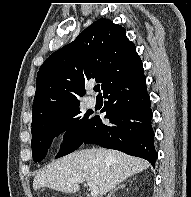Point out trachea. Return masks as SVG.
I'll return each instance as SVG.
<instances>
[{
    "mask_svg": "<svg viewBox=\"0 0 191 197\" xmlns=\"http://www.w3.org/2000/svg\"><path fill=\"white\" fill-rule=\"evenodd\" d=\"M94 91L95 92H100V85L99 84L94 86Z\"/></svg>",
    "mask_w": 191,
    "mask_h": 197,
    "instance_id": "obj_1",
    "label": "trachea"
}]
</instances>
